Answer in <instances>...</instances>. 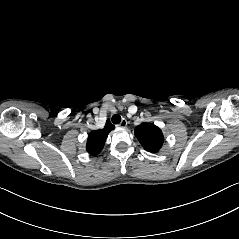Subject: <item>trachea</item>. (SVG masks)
<instances>
[{
    "mask_svg": "<svg viewBox=\"0 0 239 239\" xmlns=\"http://www.w3.org/2000/svg\"><path fill=\"white\" fill-rule=\"evenodd\" d=\"M111 120H112V123L119 124L121 122V116L118 114H114Z\"/></svg>",
    "mask_w": 239,
    "mask_h": 239,
    "instance_id": "3493384b",
    "label": "trachea"
}]
</instances>
